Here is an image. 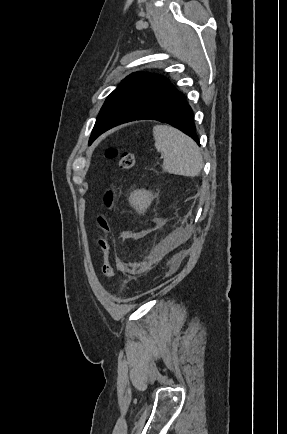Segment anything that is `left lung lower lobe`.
I'll list each match as a JSON object with an SVG mask.
<instances>
[{
  "mask_svg": "<svg viewBox=\"0 0 287 434\" xmlns=\"http://www.w3.org/2000/svg\"><path fill=\"white\" fill-rule=\"evenodd\" d=\"M152 119L168 123L181 130L199 144L193 112L184 95L176 90L164 99L137 111L126 122Z\"/></svg>",
  "mask_w": 287,
  "mask_h": 434,
  "instance_id": "0a47b994",
  "label": "left lung lower lobe"
}]
</instances>
